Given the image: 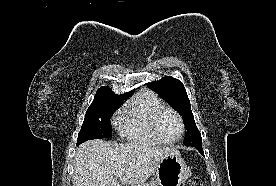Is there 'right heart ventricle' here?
Masks as SVG:
<instances>
[{"mask_svg":"<svg viewBox=\"0 0 276 186\" xmlns=\"http://www.w3.org/2000/svg\"><path fill=\"white\" fill-rule=\"evenodd\" d=\"M162 101L152 92H144L127 105L119 117L121 134L130 141L160 145V141L152 130V117L161 108Z\"/></svg>","mask_w":276,"mask_h":186,"instance_id":"e07e8e85","label":"right heart ventricle"}]
</instances>
